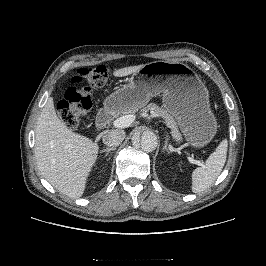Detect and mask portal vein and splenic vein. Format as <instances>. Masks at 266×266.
Masks as SVG:
<instances>
[{
  "label": "portal vein and splenic vein",
  "mask_w": 266,
  "mask_h": 266,
  "mask_svg": "<svg viewBox=\"0 0 266 266\" xmlns=\"http://www.w3.org/2000/svg\"><path fill=\"white\" fill-rule=\"evenodd\" d=\"M135 120V116L133 115H125V116H122L118 119H116L114 122H113V126L115 128H127L131 125V123ZM188 160L190 163L192 164H196L198 166H203V164L198 161V160H195L193 157L191 156H188Z\"/></svg>",
  "instance_id": "18ae733b"
}]
</instances>
